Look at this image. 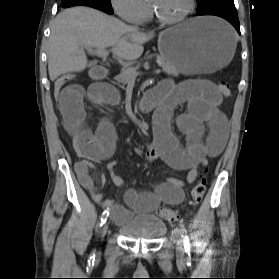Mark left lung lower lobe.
Segmentation results:
<instances>
[{
  "label": "left lung lower lobe",
  "mask_w": 279,
  "mask_h": 279,
  "mask_svg": "<svg viewBox=\"0 0 279 279\" xmlns=\"http://www.w3.org/2000/svg\"><path fill=\"white\" fill-rule=\"evenodd\" d=\"M197 16L201 15H215L222 17L229 21L240 34V25L238 14L233 0H217L204 8H201L196 13Z\"/></svg>",
  "instance_id": "obj_1"
}]
</instances>
